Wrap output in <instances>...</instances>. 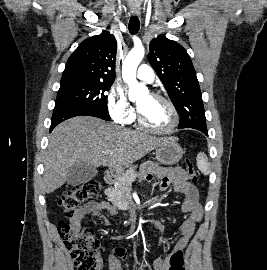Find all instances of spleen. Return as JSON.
<instances>
[{
    "instance_id": "spleen-1",
    "label": "spleen",
    "mask_w": 267,
    "mask_h": 270,
    "mask_svg": "<svg viewBox=\"0 0 267 270\" xmlns=\"http://www.w3.org/2000/svg\"><path fill=\"white\" fill-rule=\"evenodd\" d=\"M197 167L204 175H208L210 173V165L205 153L200 152L196 158Z\"/></svg>"
}]
</instances>
